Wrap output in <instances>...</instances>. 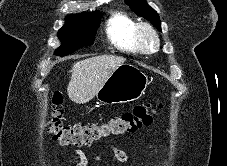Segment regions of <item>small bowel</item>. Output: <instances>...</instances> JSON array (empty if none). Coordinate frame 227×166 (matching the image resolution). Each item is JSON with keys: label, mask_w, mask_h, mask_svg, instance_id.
Listing matches in <instances>:
<instances>
[{"label": "small bowel", "mask_w": 227, "mask_h": 166, "mask_svg": "<svg viewBox=\"0 0 227 166\" xmlns=\"http://www.w3.org/2000/svg\"><path fill=\"white\" fill-rule=\"evenodd\" d=\"M113 151L117 160H119L120 162H125L127 160L126 153L122 149L113 146ZM76 154L79 158L77 166H88V158L85 153L81 150H76ZM99 159V156L95 157L96 161H98Z\"/></svg>", "instance_id": "c3829d8e"}]
</instances>
